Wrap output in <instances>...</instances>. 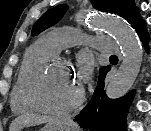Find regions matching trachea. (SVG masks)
I'll list each match as a JSON object with an SVG mask.
<instances>
[{
  "mask_svg": "<svg viewBox=\"0 0 151 131\" xmlns=\"http://www.w3.org/2000/svg\"><path fill=\"white\" fill-rule=\"evenodd\" d=\"M110 58H117V56L116 55H111Z\"/></svg>",
  "mask_w": 151,
  "mask_h": 131,
  "instance_id": "obj_1",
  "label": "trachea"
}]
</instances>
